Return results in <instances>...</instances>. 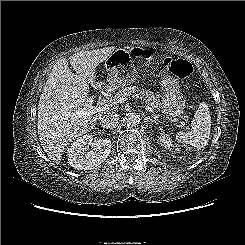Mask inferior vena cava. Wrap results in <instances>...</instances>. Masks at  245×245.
<instances>
[{
  "instance_id": "inferior-vena-cava-1",
  "label": "inferior vena cava",
  "mask_w": 245,
  "mask_h": 245,
  "mask_svg": "<svg viewBox=\"0 0 245 245\" xmlns=\"http://www.w3.org/2000/svg\"><path fill=\"white\" fill-rule=\"evenodd\" d=\"M118 120V115L115 112H110L100 118V125L105 129H110L116 126Z\"/></svg>"
}]
</instances>
